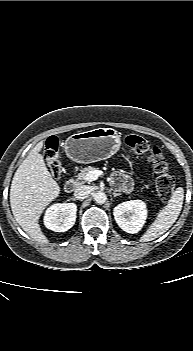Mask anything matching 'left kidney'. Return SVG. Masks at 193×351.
<instances>
[{"instance_id":"5707ae66","label":"left kidney","mask_w":193,"mask_h":351,"mask_svg":"<svg viewBox=\"0 0 193 351\" xmlns=\"http://www.w3.org/2000/svg\"><path fill=\"white\" fill-rule=\"evenodd\" d=\"M147 207L142 200H130L118 204L113 215L118 226L125 232L135 234L144 226Z\"/></svg>"}]
</instances>
